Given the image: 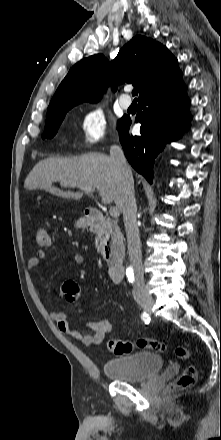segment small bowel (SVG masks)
Masks as SVG:
<instances>
[{
	"label": "small bowel",
	"instance_id": "small-bowel-1",
	"mask_svg": "<svg viewBox=\"0 0 221 440\" xmlns=\"http://www.w3.org/2000/svg\"><path fill=\"white\" fill-rule=\"evenodd\" d=\"M45 251H39L35 256H33L28 262V269L30 271H37L43 261L45 260ZM71 261L76 265H81L83 263V256L81 254H73L71 256ZM38 293H42V287L39 282L36 285ZM51 319L57 324L58 329L64 334L77 339L82 344L86 346H96L101 344L106 335L112 330V325L108 320H96L87 322L86 326L92 331L90 334H83L74 328L69 321V315L65 312L51 311Z\"/></svg>",
	"mask_w": 221,
	"mask_h": 440
}]
</instances>
